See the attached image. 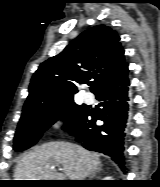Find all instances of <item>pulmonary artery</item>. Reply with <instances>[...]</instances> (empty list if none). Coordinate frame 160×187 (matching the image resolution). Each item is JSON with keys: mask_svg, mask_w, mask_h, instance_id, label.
<instances>
[{"mask_svg": "<svg viewBox=\"0 0 160 187\" xmlns=\"http://www.w3.org/2000/svg\"><path fill=\"white\" fill-rule=\"evenodd\" d=\"M83 100L85 103H92L93 102V96L91 94H85L83 96Z\"/></svg>", "mask_w": 160, "mask_h": 187, "instance_id": "1", "label": "pulmonary artery"}]
</instances>
